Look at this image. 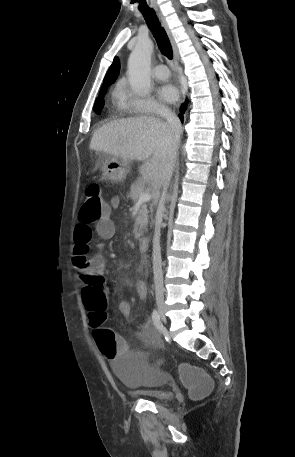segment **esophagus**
<instances>
[{
  "label": "esophagus",
  "mask_w": 295,
  "mask_h": 457,
  "mask_svg": "<svg viewBox=\"0 0 295 457\" xmlns=\"http://www.w3.org/2000/svg\"><path fill=\"white\" fill-rule=\"evenodd\" d=\"M155 9L158 11L157 8H155ZM158 13H159V17L161 19L162 25L164 26V28H165V30H166V32L168 34V37L170 39V42H171V45H172V48H173V53H174V63H175V67L177 68L178 67V63H179V53H178L177 45H176V43L174 41V38H173V36L171 34V31H170L167 23L165 22L163 16L160 14L159 11H158Z\"/></svg>",
  "instance_id": "esophagus-1"
}]
</instances>
